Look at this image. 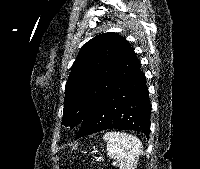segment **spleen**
<instances>
[{"instance_id": "1", "label": "spleen", "mask_w": 200, "mask_h": 169, "mask_svg": "<svg viewBox=\"0 0 200 169\" xmlns=\"http://www.w3.org/2000/svg\"><path fill=\"white\" fill-rule=\"evenodd\" d=\"M103 139L107 142V154L116 159L120 169H135L141 154L142 144L133 135L125 132H107Z\"/></svg>"}]
</instances>
